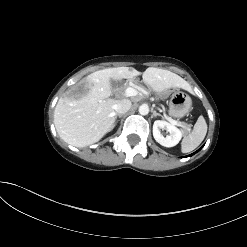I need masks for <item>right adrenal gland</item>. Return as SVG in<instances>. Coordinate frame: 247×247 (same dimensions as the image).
Here are the masks:
<instances>
[{"instance_id": "1", "label": "right adrenal gland", "mask_w": 247, "mask_h": 247, "mask_svg": "<svg viewBox=\"0 0 247 247\" xmlns=\"http://www.w3.org/2000/svg\"><path fill=\"white\" fill-rule=\"evenodd\" d=\"M122 116H123L122 114H116L115 117H114V119L116 120L117 117L122 118ZM116 123H117V122H115L114 126L116 125Z\"/></svg>"}]
</instances>
